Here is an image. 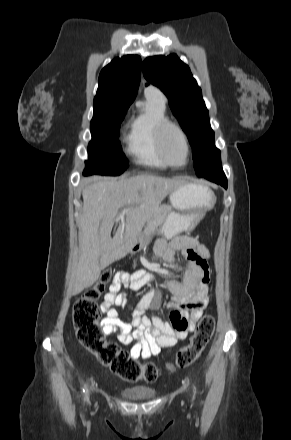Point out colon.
<instances>
[{
	"instance_id": "5ec220e1",
	"label": "colon",
	"mask_w": 291,
	"mask_h": 440,
	"mask_svg": "<svg viewBox=\"0 0 291 440\" xmlns=\"http://www.w3.org/2000/svg\"><path fill=\"white\" fill-rule=\"evenodd\" d=\"M112 276V269H104L99 281L89 287L75 302L72 321L76 336L98 361L108 365L123 380L153 382L160 373L156 365L137 363L116 344L106 342L103 338V332L98 323L100 313L97 300L104 293L105 285L110 282ZM214 329L215 319L212 315H205L201 318L190 342L178 351L174 363L166 364V369L171 371L175 366L183 368L192 364L201 355L212 337Z\"/></svg>"
}]
</instances>
